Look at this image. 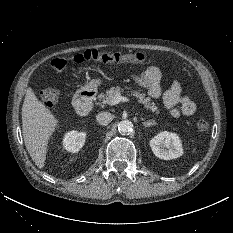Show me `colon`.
I'll use <instances>...</instances> for the list:
<instances>
[{"instance_id": "colon-1", "label": "colon", "mask_w": 233, "mask_h": 233, "mask_svg": "<svg viewBox=\"0 0 233 233\" xmlns=\"http://www.w3.org/2000/svg\"><path fill=\"white\" fill-rule=\"evenodd\" d=\"M146 56L142 52L131 54H121L118 52H101L98 50H86L82 53L75 54L71 57H58L51 61V67L56 70H62L71 63L80 64L86 61L98 63H139L145 60ZM59 98V91L56 87H46L41 92V99L45 106L52 107L56 104ZM209 127L205 119H199L197 128L200 132H207Z\"/></svg>"}]
</instances>
